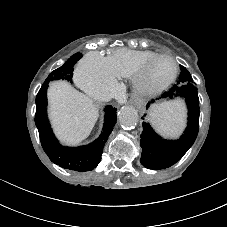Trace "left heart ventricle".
Masks as SVG:
<instances>
[{
    "label": "left heart ventricle",
    "instance_id": "left-heart-ventricle-1",
    "mask_svg": "<svg viewBox=\"0 0 227 227\" xmlns=\"http://www.w3.org/2000/svg\"><path fill=\"white\" fill-rule=\"evenodd\" d=\"M171 72V64L167 60H159L153 66V75L157 79H165Z\"/></svg>",
    "mask_w": 227,
    "mask_h": 227
}]
</instances>
